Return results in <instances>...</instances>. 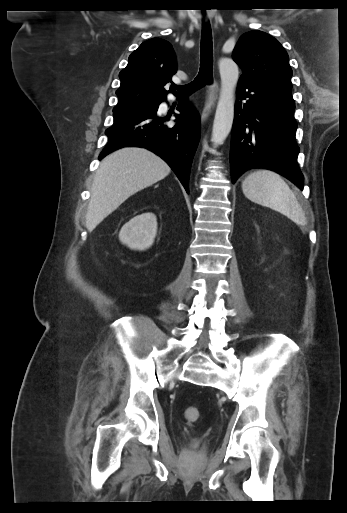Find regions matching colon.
<instances>
[{
  "label": "colon",
  "instance_id": "1",
  "mask_svg": "<svg viewBox=\"0 0 347 513\" xmlns=\"http://www.w3.org/2000/svg\"><path fill=\"white\" fill-rule=\"evenodd\" d=\"M185 418L190 424H197L202 419L201 411L196 407H188L185 410Z\"/></svg>",
  "mask_w": 347,
  "mask_h": 513
}]
</instances>
